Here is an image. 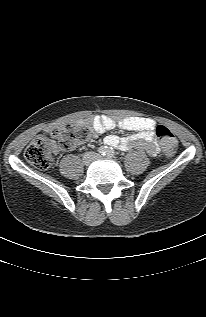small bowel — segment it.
I'll list each match as a JSON object with an SVG mask.
<instances>
[{
  "label": "small bowel",
  "mask_w": 206,
  "mask_h": 317,
  "mask_svg": "<svg viewBox=\"0 0 206 317\" xmlns=\"http://www.w3.org/2000/svg\"><path fill=\"white\" fill-rule=\"evenodd\" d=\"M78 125L88 127L93 135L116 128L132 131L134 133L126 137L108 135L105 137L104 142L108 146L117 147L124 151L136 148L144 150L153 156L159 152V146L154 132L156 123L150 118L126 117L116 120L109 116L98 115L83 119L78 122ZM52 151H57V147L54 143H52Z\"/></svg>",
  "instance_id": "small-bowel-1"
}]
</instances>
